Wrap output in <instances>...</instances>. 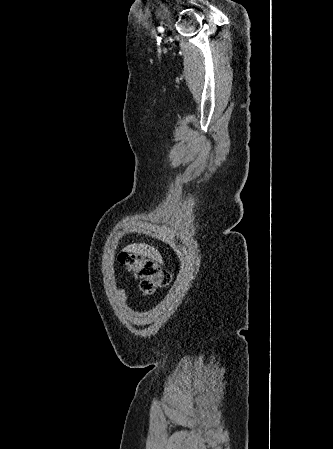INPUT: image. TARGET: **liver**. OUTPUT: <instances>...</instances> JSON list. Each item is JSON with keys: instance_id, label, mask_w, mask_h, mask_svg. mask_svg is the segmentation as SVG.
<instances>
[{"instance_id": "1", "label": "liver", "mask_w": 333, "mask_h": 449, "mask_svg": "<svg viewBox=\"0 0 333 449\" xmlns=\"http://www.w3.org/2000/svg\"><path fill=\"white\" fill-rule=\"evenodd\" d=\"M124 251L142 254L143 256H147L149 258L157 260L159 263H163L159 252L154 247L148 246L146 244H131L124 248Z\"/></svg>"}]
</instances>
